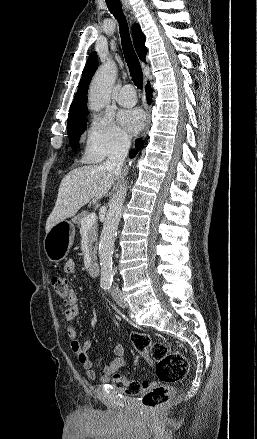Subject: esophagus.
Here are the masks:
<instances>
[{
  "label": "esophagus",
  "instance_id": "obj_1",
  "mask_svg": "<svg viewBox=\"0 0 257 439\" xmlns=\"http://www.w3.org/2000/svg\"><path fill=\"white\" fill-rule=\"evenodd\" d=\"M123 4H124L126 10H128L129 7H128V4H127V2L125 0H123ZM149 127H150V117H148L147 125H146V128H145V130H144V132L142 134V137L146 136V134H147V132L149 130Z\"/></svg>",
  "mask_w": 257,
  "mask_h": 439
}]
</instances>
